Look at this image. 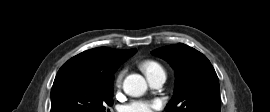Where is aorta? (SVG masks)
Wrapping results in <instances>:
<instances>
[{"mask_svg": "<svg viewBox=\"0 0 270 112\" xmlns=\"http://www.w3.org/2000/svg\"><path fill=\"white\" fill-rule=\"evenodd\" d=\"M123 89L130 96H140L146 92L147 82L139 74H130L123 82Z\"/></svg>", "mask_w": 270, "mask_h": 112, "instance_id": "aorta-1", "label": "aorta"}]
</instances>
